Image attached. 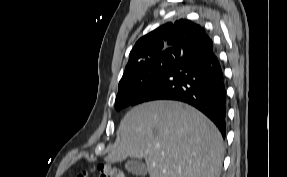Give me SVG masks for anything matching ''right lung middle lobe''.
I'll list each match as a JSON object with an SVG mask.
<instances>
[{"mask_svg":"<svg viewBox=\"0 0 287 177\" xmlns=\"http://www.w3.org/2000/svg\"><path fill=\"white\" fill-rule=\"evenodd\" d=\"M180 58L179 56H169L161 59L141 71L134 78L119 84L115 109L121 110L130 106L146 88L172 69L179 62Z\"/></svg>","mask_w":287,"mask_h":177,"instance_id":"dd1d6c3e","label":"right lung middle lobe"}]
</instances>
